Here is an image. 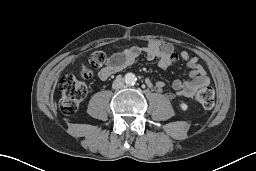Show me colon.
I'll use <instances>...</instances> for the list:
<instances>
[{
    "mask_svg": "<svg viewBox=\"0 0 256 171\" xmlns=\"http://www.w3.org/2000/svg\"><path fill=\"white\" fill-rule=\"evenodd\" d=\"M105 54L102 51H95L89 57L91 67L80 68V78L69 74L63 76L59 81L60 108L65 115H72L76 112L79 103L87 95L88 89L85 81L93 76L92 68H97L105 63ZM195 99L206 109H211L215 104V92L212 86L205 85L195 93Z\"/></svg>",
    "mask_w": 256,
    "mask_h": 171,
    "instance_id": "1",
    "label": "colon"
}]
</instances>
